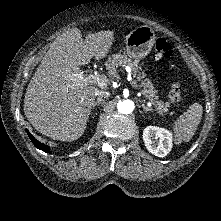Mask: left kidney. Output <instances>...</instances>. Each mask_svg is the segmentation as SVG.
Here are the masks:
<instances>
[{"label":"left kidney","mask_w":221,"mask_h":221,"mask_svg":"<svg viewBox=\"0 0 221 221\" xmlns=\"http://www.w3.org/2000/svg\"><path fill=\"white\" fill-rule=\"evenodd\" d=\"M143 140L148 151L158 157L167 156L173 146L172 133L155 126H148L144 129Z\"/></svg>","instance_id":"1"}]
</instances>
